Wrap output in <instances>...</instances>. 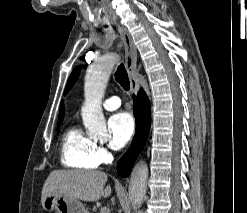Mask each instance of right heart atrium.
I'll return each mask as SVG.
<instances>
[{
  "instance_id": "d8ad5b80",
  "label": "right heart atrium",
  "mask_w": 247,
  "mask_h": 213,
  "mask_svg": "<svg viewBox=\"0 0 247 213\" xmlns=\"http://www.w3.org/2000/svg\"><path fill=\"white\" fill-rule=\"evenodd\" d=\"M93 155L98 165L106 164L111 159V154L105 146L102 144L95 143L93 149Z\"/></svg>"
}]
</instances>
